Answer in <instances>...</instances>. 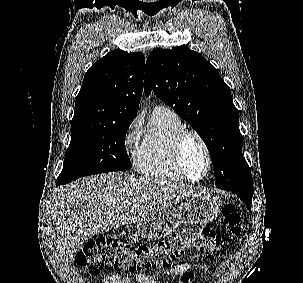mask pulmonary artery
Listing matches in <instances>:
<instances>
[{"mask_svg": "<svg viewBox=\"0 0 303 283\" xmlns=\"http://www.w3.org/2000/svg\"><path fill=\"white\" fill-rule=\"evenodd\" d=\"M160 108H162V107L159 106V107H156L155 109H160Z\"/></svg>", "mask_w": 303, "mask_h": 283, "instance_id": "1", "label": "pulmonary artery"}]
</instances>
